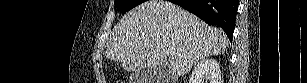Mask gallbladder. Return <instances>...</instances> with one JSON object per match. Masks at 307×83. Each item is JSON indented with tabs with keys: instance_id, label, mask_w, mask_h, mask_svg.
Returning <instances> with one entry per match:
<instances>
[{
	"instance_id": "1",
	"label": "gallbladder",
	"mask_w": 307,
	"mask_h": 83,
	"mask_svg": "<svg viewBox=\"0 0 307 83\" xmlns=\"http://www.w3.org/2000/svg\"><path fill=\"white\" fill-rule=\"evenodd\" d=\"M170 75L168 70L163 71L159 68L150 67L132 73L131 81L133 83H170ZM165 78H168L170 81H165Z\"/></svg>"
}]
</instances>
